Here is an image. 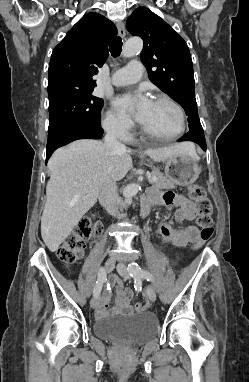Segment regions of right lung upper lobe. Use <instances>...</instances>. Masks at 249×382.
Segmentation results:
<instances>
[{"label": "right lung upper lobe", "mask_w": 249, "mask_h": 382, "mask_svg": "<svg viewBox=\"0 0 249 382\" xmlns=\"http://www.w3.org/2000/svg\"><path fill=\"white\" fill-rule=\"evenodd\" d=\"M117 34L113 22L91 12L83 16L54 48L48 70L49 103L92 93L98 73L109 55L108 44Z\"/></svg>", "instance_id": "right-lung-upper-lobe-1"}]
</instances>
